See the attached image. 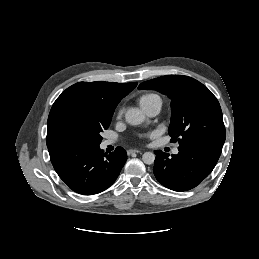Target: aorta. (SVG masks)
Returning <instances> with one entry per match:
<instances>
[{
	"mask_svg": "<svg viewBox=\"0 0 259 259\" xmlns=\"http://www.w3.org/2000/svg\"><path fill=\"white\" fill-rule=\"evenodd\" d=\"M125 119L130 125H140L145 120L144 113L136 108H130L125 113ZM142 160L145 164H153L155 160V154L152 152H145L142 156Z\"/></svg>",
	"mask_w": 259,
	"mask_h": 259,
	"instance_id": "obj_1",
	"label": "aorta"
}]
</instances>
